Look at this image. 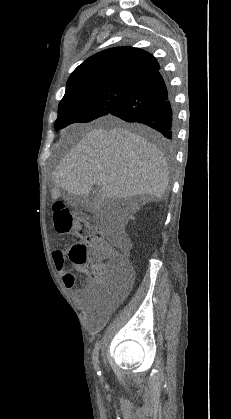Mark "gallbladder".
Returning a JSON list of instances; mask_svg holds the SVG:
<instances>
[{
    "label": "gallbladder",
    "instance_id": "gallbladder-1",
    "mask_svg": "<svg viewBox=\"0 0 231 419\" xmlns=\"http://www.w3.org/2000/svg\"><path fill=\"white\" fill-rule=\"evenodd\" d=\"M64 199L69 201L75 206H86L88 204H95L97 200L100 199L99 197V190L97 188H94L90 191V193L84 197L79 196L76 197L74 195H71L69 193L64 194Z\"/></svg>",
    "mask_w": 231,
    "mask_h": 419
}]
</instances>
